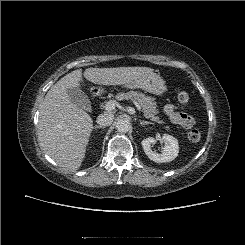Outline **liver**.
Returning a JSON list of instances; mask_svg holds the SVG:
<instances>
[{
	"label": "liver",
	"mask_w": 245,
	"mask_h": 245,
	"mask_svg": "<svg viewBox=\"0 0 245 245\" xmlns=\"http://www.w3.org/2000/svg\"><path fill=\"white\" fill-rule=\"evenodd\" d=\"M152 72L149 67L87 68L62 77L47 92L40 108L38 140L43 150L66 170L80 168L93 120L70 100L67 89L79 88L83 76L94 84L124 85Z\"/></svg>",
	"instance_id": "obj_1"
}]
</instances>
